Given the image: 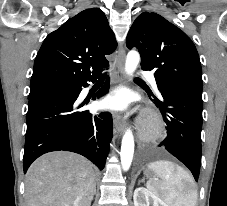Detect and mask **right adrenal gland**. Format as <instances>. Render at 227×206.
Segmentation results:
<instances>
[{
	"instance_id": "1",
	"label": "right adrenal gland",
	"mask_w": 227,
	"mask_h": 206,
	"mask_svg": "<svg viewBox=\"0 0 227 206\" xmlns=\"http://www.w3.org/2000/svg\"><path fill=\"white\" fill-rule=\"evenodd\" d=\"M94 194H96V188H95V190H94Z\"/></svg>"
}]
</instances>
